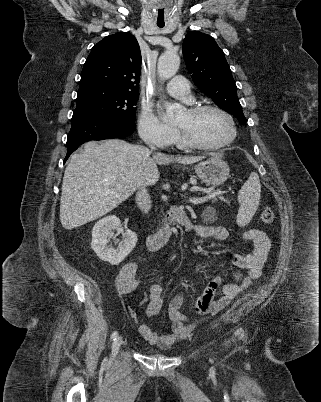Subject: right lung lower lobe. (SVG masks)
Segmentation results:
<instances>
[{"mask_svg": "<svg viewBox=\"0 0 321 402\" xmlns=\"http://www.w3.org/2000/svg\"><path fill=\"white\" fill-rule=\"evenodd\" d=\"M136 129L135 122L106 119H78L72 121L67 137V155L64 162L81 144L89 140L124 138Z\"/></svg>", "mask_w": 321, "mask_h": 402, "instance_id": "1", "label": "right lung lower lobe"}]
</instances>
